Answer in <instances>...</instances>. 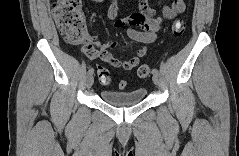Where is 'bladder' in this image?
Returning <instances> with one entry per match:
<instances>
[{
  "mask_svg": "<svg viewBox=\"0 0 239 156\" xmlns=\"http://www.w3.org/2000/svg\"><path fill=\"white\" fill-rule=\"evenodd\" d=\"M147 94V89L138 87L130 91L103 90L101 98L104 102L118 107H127L142 102Z\"/></svg>",
  "mask_w": 239,
  "mask_h": 156,
  "instance_id": "1",
  "label": "bladder"
}]
</instances>
